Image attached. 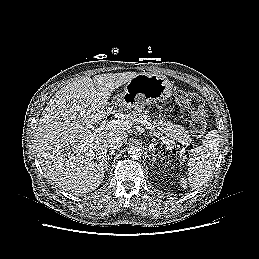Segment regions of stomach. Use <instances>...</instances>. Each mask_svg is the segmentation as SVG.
I'll list each match as a JSON object with an SVG mask.
<instances>
[{
  "label": "stomach",
  "instance_id": "1",
  "mask_svg": "<svg viewBox=\"0 0 259 259\" xmlns=\"http://www.w3.org/2000/svg\"><path fill=\"white\" fill-rule=\"evenodd\" d=\"M171 95L172 86L165 76L139 73L114 98L113 104L119 109L139 110L152 103L163 102Z\"/></svg>",
  "mask_w": 259,
  "mask_h": 259
}]
</instances>
